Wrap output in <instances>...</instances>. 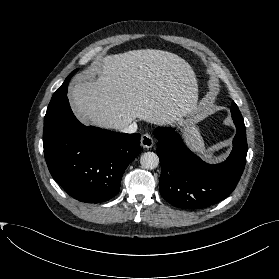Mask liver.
Segmentation results:
<instances>
[{
    "instance_id": "1",
    "label": "liver",
    "mask_w": 279,
    "mask_h": 279,
    "mask_svg": "<svg viewBox=\"0 0 279 279\" xmlns=\"http://www.w3.org/2000/svg\"><path fill=\"white\" fill-rule=\"evenodd\" d=\"M68 97L84 124L116 130L136 118L159 126L177 124L186 127L193 149L204 150L187 118L197 109L196 75L174 53L145 49L107 55L78 76Z\"/></svg>"
}]
</instances>
